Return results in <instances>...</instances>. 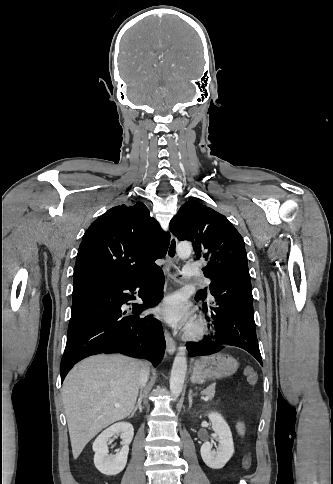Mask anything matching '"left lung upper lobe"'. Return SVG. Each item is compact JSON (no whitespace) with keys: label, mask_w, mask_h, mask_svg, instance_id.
<instances>
[{"label":"left lung upper lobe","mask_w":333,"mask_h":484,"mask_svg":"<svg viewBox=\"0 0 333 484\" xmlns=\"http://www.w3.org/2000/svg\"><path fill=\"white\" fill-rule=\"evenodd\" d=\"M170 230L178 240L193 242L197 259L206 260L203 269L206 277H210L216 265L227 258L247 262L244 240L235 227L224 215L198 201H187L181 206L170 222ZM214 289L215 285L211 283V294ZM198 298L204 300L206 293L199 291Z\"/></svg>","instance_id":"obj_1"}]
</instances>
